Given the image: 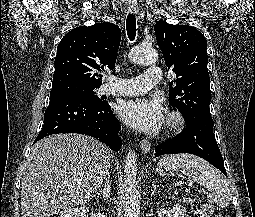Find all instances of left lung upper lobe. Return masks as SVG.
<instances>
[{
	"label": "left lung upper lobe",
	"instance_id": "left-lung-upper-lobe-1",
	"mask_svg": "<svg viewBox=\"0 0 255 217\" xmlns=\"http://www.w3.org/2000/svg\"><path fill=\"white\" fill-rule=\"evenodd\" d=\"M154 29L165 64L177 76L169 84L170 105L181 112L186 124L202 117L212 119L204 35L189 25H171L164 20L156 22Z\"/></svg>",
	"mask_w": 255,
	"mask_h": 217
}]
</instances>
